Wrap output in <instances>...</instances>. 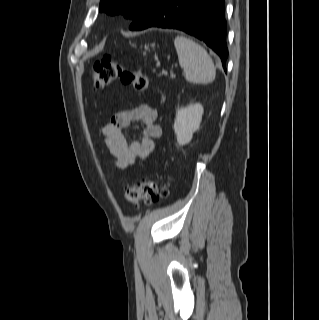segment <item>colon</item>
<instances>
[{
	"mask_svg": "<svg viewBox=\"0 0 319 320\" xmlns=\"http://www.w3.org/2000/svg\"><path fill=\"white\" fill-rule=\"evenodd\" d=\"M117 79H121L139 93L145 92L148 88V79L143 73L124 69L109 55L94 63L92 67L94 89H103ZM124 195L129 203L153 204L168 196V182L164 176L143 179L126 187Z\"/></svg>",
	"mask_w": 319,
	"mask_h": 320,
	"instance_id": "1",
	"label": "colon"
}]
</instances>
